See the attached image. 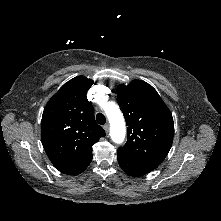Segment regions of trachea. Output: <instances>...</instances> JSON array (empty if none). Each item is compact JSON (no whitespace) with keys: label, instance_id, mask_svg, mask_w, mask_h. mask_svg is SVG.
Returning a JSON list of instances; mask_svg holds the SVG:
<instances>
[{"label":"trachea","instance_id":"3493384b","mask_svg":"<svg viewBox=\"0 0 221 221\" xmlns=\"http://www.w3.org/2000/svg\"><path fill=\"white\" fill-rule=\"evenodd\" d=\"M96 121H97L98 124L103 125L106 122V118L102 113H98L96 115Z\"/></svg>","mask_w":221,"mask_h":221}]
</instances>
